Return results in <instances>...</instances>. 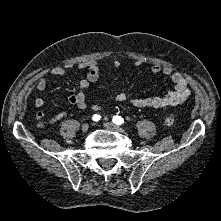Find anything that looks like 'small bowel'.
<instances>
[{
    "instance_id": "1",
    "label": "small bowel",
    "mask_w": 221,
    "mask_h": 221,
    "mask_svg": "<svg viewBox=\"0 0 221 221\" xmlns=\"http://www.w3.org/2000/svg\"><path fill=\"white\" fill-rule=\"evenodd\" d=\"M120 65L119 61L114 60L111 66L116 68ZM136 65H142L141 61H136ZM88 69L86 76L79 83V90L74 93H69L67 99L70 103L77 105L80 108L86 107V94L85 90L92 84L96 83L99 79V64L96 60H83L76 64H68L64 67L56 66L51 69V74L54 76H64L71 69ZM150 71L153 74H163L172 83L173 88L164 96L154 97H132L126 92H120L116 95V100L123 103H129L132 106L140 109H153L165 110L171 107H176L182 104L191 94V89L188 80L179 72L173 71L168 67H162L160 64H152ZM47 81L44 77H40L37 81L36 88L38 91L43 92L47 89ZM37 108H42L45 105V100L37 96L34 100ZM102 105L96 104L93 106L94 111H100ZM43 113H38V118L43 117ZM65 117L64 112L56 115V119L60 120Z\"/></svg>"
}]
</instances>
